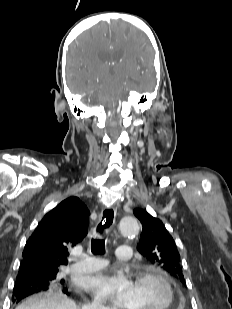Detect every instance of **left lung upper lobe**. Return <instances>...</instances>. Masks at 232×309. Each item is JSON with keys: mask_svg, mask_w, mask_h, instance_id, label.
<instances>
[{"mask_svg": "<svg viewBox=\"0 0 232 309\" xmlns=\"http://www.w3.org/2000/svg\"><path fill=\"white\" fill-rule=\"evenodd\" d=\"M133 212L143 226L137 247L140 254L185 284L180 254L163 223L144 209H134Z\"/></svg>", "mask_w": 232, "mask_h": 309, "instance_id": "5c2ea615", "label": "left lung upper lobe"}]
</instances>
